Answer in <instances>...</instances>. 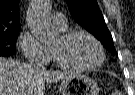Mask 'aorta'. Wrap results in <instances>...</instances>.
I'll list each match as a JSON object with an SVG mask.
<instances>
[{"mask_svg": "<svg viewBox=\"0 0 135 95\" xmlns=\"http://www.w3.org/2000/svg\"><path fill=\"white\" fill-rule=\"evenodd\" d=\"M48 13V0H34L27 14V23L32 34L42 43L50 42L56 36L50 27Z\"/></svg>", "mask_w": 135, "mask_h": 95, "instance_id": "1", "label": "aorta"}]
</instances>
